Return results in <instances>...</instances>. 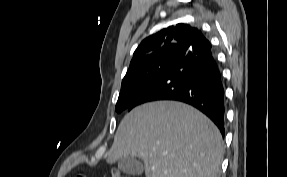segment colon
<instances>
[{
    "mask_svg": "<svg viewBox=\"0 0 287 177\" xmlns=\"http://www.w3.org/2000/svg\"><path fill=\"white\" fill-rule=\"evenodd\" d=\"M76 177H84V175L78 174ZM111 177H127V176L119 169L114 168L111 170Z\"/></svg>",
    "mask_w": 287,
    "mask_h": 177,
    "instance_id": "colon-1",
    "label": "colon"
}]
</instances>
